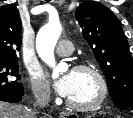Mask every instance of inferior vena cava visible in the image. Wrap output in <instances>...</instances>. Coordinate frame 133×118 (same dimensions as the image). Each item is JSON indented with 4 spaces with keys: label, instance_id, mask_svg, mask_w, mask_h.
Instances as JSON below:
<instances>
[{
    "label": "inferior vena cava",
    "instance_id": "inferior-vena-cava-1",
    "mask_svg": "<svg viewBox=\"0 0 133 118\" xmlns=\"http://www.w3.org/2000/svg\"><path fill=\"white\" fill-rule=\"evenodd\" d=\"M36 103L35 106L44 107L50 100V91L46 88L40 89L35 92ZM36 112L29 111V118H35Z\"/></svg>",
    "mask_w": 133,
    "mask_h": 118
}]
</instances>
